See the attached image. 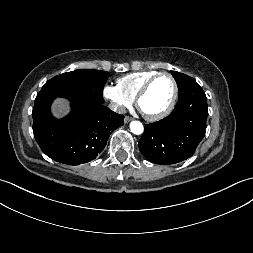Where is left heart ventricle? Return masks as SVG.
<instances>
[{"label":"left heart ventricle","instance_id":"1","mask_svg":"<svg viewBox=\"0 0 253 253\" xmlns=\"http://www.w3.org/2000/svg\"><path fill=\"white\" fill-rule=\"evenodd\" d=\"M172 95L173 84L171 79L162 76L151 85L146 95L141 99L140 110L148 115L160 113L169 105Z\"/></svg>","mask_w":253,"mask_h":253}]
</instances>
